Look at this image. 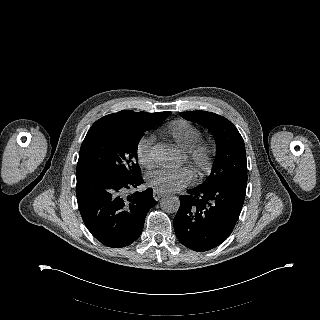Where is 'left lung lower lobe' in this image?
Returning a JSON list of instances; mask_svg holds the SVG:
<instances>
[{
	"instance_id": "obj_1",
	"label": "left lung lower lobe",
	"mask_w": 320,
	"mask_h": 320,
	"mask_svg": "<svg viewBox=\"0 0 320 320\" xmlns=\"http://www.w3.org/2000/svg\"><path fill=\"white\" fill-rule=\"evenodd\" d=\"M245 180L227 179L212 187H195L180 197L174 218L178 240L195 251L210 250L232 232L246 194Z\"/></svg>"
}]
</instances>
